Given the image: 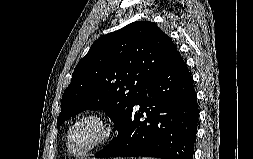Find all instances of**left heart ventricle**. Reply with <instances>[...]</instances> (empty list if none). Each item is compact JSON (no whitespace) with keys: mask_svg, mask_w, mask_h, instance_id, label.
Returning a JSON list of instances; mask_svg holds the SVG:
<instances>
[{"mask_svg":"<svg viewBox=\"0 0 253 159\" xmlns=\"http://www.w3.org/2000/svg\"><path fill=\"white\" fill-rule=\"evenodd\" d=\"M102 130V124L95 119L81 122L72 135V148L78 152L85 150L100 136Z\"/></svg>","mask_w":253,"mask_h":159,"instance_id":"b2bd125f","label":"left heart ventricle"}]
</instances>
